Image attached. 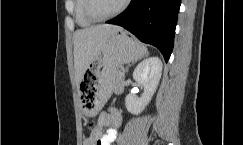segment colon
<instances>
[{
	"label": "colon",
	"instance_id": "colon-1",
	"mask_svg": "<svg viewBox=\"0 0 243 145\" xmlns=\"http://www.w3.org/2000/svg\"><path fill=\"white\" fill-rule=\"evenodd\" d=\"M90 127H91V128H93V127H94V125L91 123V124H90Z\"/></svg>",
	"mask_w": 243,
	"mask_h": 145
}]
</instances>
